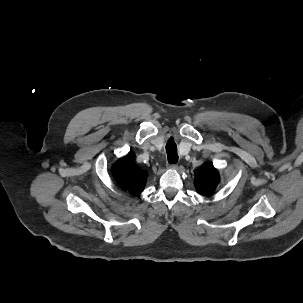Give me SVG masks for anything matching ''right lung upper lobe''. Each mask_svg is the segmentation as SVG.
<instances>
[{"mask_svg": "<svg viewBox=\"0 0 303 303\" xmlns=\"http://www.w3.org/2000/svg\"><path fill=\"white\" fill-rule=\"evenodd\" d=\"M112 173L122 188L135 194L143 191L147 174L144 170L138 168L129 156L119 159L113 166Z\"/></svg>", "mask_w": 303, "mask_h": 303, "instance_id": "obj_1", "label": "right lung upper lobe"}]
</instances>
